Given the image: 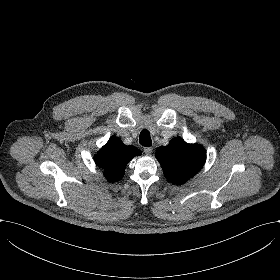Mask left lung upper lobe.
Segmentation results:
<instances>
[{
  "label": "left lung upper lobe",
  "mask_w": 280,
  "mask_h": 280,
  "mask_svg": "<svg viewBox=\"0 0 280 280\" xmlns=\"http://www.w3.org/2000/svg\"><path fill=\"white\" fill-rule=\"evenodd\" d=\"M155 156L165 177L174 184L185 183L202 168L206 160L205 149L201 145L187 144L180 138L159 147Z\"/></svg>",
  "instance_id": "left-lung-upper-lobe-1"
}]
</instances>
